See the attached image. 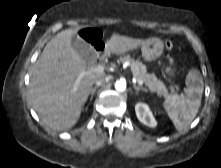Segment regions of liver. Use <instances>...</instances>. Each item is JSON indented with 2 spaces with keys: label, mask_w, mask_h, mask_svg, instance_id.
Instances as JSON below:
<instances>
[{
  "label": "liver",
  "mask_w": 221,
  "mask_h": 168,
  "mask_svg": "<svg viewBox=\"0 0 221 168\" xmlns=\"http://www.w3.org/2000/svg\"><path fill=\"white\" fill-rule=\"evenodd\" d=\"M77 32L78 29H66L53 37L35 63L30 79L29 97L33 109L45 125L57 131L68 130L77 123L92 85L98 77L105 76L102 72L80 78L87 70L86 63L72 47L71 39ZM144 41L112 35L106 49L109 53L122 55Z\"/></svg>",
  "instance_id": "6515ba94"
}]
</instances>
